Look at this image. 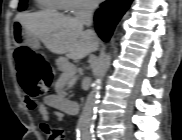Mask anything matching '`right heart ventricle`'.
<instances>
[{"instance_id": "1", "label": "right heart ventricle", "mask_w": 182, "mask_h": 140, "mask_svg": "<svg viewBox=\"0 0 182 140\" xmlns=\"http://www.w3.org/2000/svg\"><path fill=\"white\" fill-rule=\"evenodd\" d=\"M39 4L41 8L48 11H59L63 9L65 0H40Z\"/></svg>"}]
</instances>
